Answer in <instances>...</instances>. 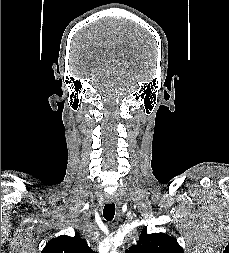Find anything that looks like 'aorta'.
Returning a JSON list of instances; mask_svg holds the SVG:
<instances>
[{
    "label": "aorta",
    "mask_w": 229,
    "mask_h": 253,
    "mask_svg": "<svg viewBox=\"0 0 229 253\" xmlns=\"http://www.w3.org/2000/svg\"><path fill=\"white\" fill-rule=\"evenodd\" d=\"M111 253H118V252L114 250V251H112Z\"/></svg>",
    "instance_id": "obj_1"
}]
</instances>
